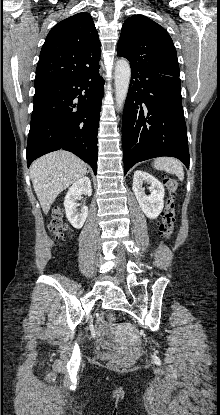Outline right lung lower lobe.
Listing matches in <instances>:
<instances>
[{
	"label": "right lung lower lobe",
	"mask_w": 220,
	"mask_h": 415,
	"mask_svg": "<svg viewBox=\"0 0 220 415\" xmlns=\"http://www.w3.org/2000/svg\"><path fill=\"white\" fill-rule=\"evenodd\" d=\"M98 71L70 79L59 84L54 93L34 100L27 143L28 167L38 157L64 149L87 162L96 174L104 94V80Z\"/></svg>",
	"instance_id": "1"
}]
</instances>
